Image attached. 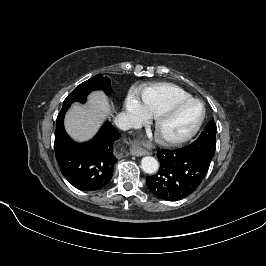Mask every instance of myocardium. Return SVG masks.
<instances>
[{
    "instance_id": "1",
    "label": "myocardium",
    "mask_w": 266,
    "mask_h": 266,
    "mask_svg": "<svg viewBox=\"0 0 266 266\" xmlns=\"http://www.w3.org/2000/svg\"><path fill=\"white\" fill-rule=\"evenodd\" d=\"M193 104H197L201 108V114L197 122L195 123V125L187 133L181 136H178V137H170V136L164 135L162 133V126L164 125V123L167 120H169L171 117L176 115L179 111L184 109L185 107L193 105ZM205 115H206V110H205L204 104L198 99L191 98V99L177 102L176 104L172 105L171 107H169L168 109H166L165 111H163L162 113L156 116V119H155L156 136L162 143L166 145H170V146L181 145L189 141L190 139H192L197 134V132L200 130L204 122Z\"/></svg>"
}]
</instances>
